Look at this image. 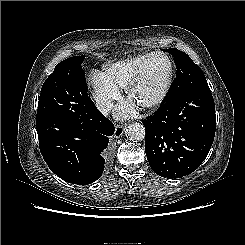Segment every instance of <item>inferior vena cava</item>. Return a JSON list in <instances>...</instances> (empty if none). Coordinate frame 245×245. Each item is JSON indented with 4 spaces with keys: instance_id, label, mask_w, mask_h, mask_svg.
<instances>
[{
    "instance_id": "inferior-vena-cava-1",
    "label": "inferior vena cava",
    "mask_w": 245,
    "mask_h": 245,
    "mask_svg": "<svg viewBox=\"0 0 245 245\" xmlns=\"http://www.w3.org/2000/svg\"><path fill=\"white\" fill-rule=\"evenodd\" d=\"M96 106L98 108V110L104 114V115H108L110 113V111L113 109V103L111 101H107V100H101L98 101L96 103Z\"/></svg>"
}]
</instances>
